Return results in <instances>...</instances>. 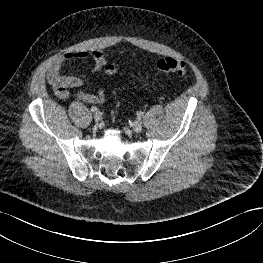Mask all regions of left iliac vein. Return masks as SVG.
Segmentation results:
<instances>
[{
  "label": "left iliac vein",
  "mask_w": 263,
  "mask_h": 263,
  "mask_svg": "<svg viewBox=\"0 0 263 263\" xmlns=\"http://www.w3.org/2000/svg\"><path fill=\"white\" fill-rule=\"evenodd\" d=\"M132 129L135 131V132H141V130H142V124H141V122L140 121H135V122H133V124H132Z\"/></svg>",
  "instance_id": "obj_1"
}]
</instances>
